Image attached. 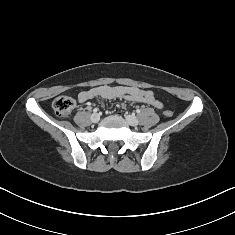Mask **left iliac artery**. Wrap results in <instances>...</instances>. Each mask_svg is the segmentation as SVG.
Returning a JSON list of instances; mask_svg holds the SVG:
<instances>
[{
  "mask_svg": "<svg viewBox=\"0 0 235 235\" xmlns=\"http://www.w3.org/2000/svg\"><path fill=\"white\" fill-rule=\"evenodd\" d=\"M136 112L139 114V113L141 112V110H140V109H137Z\"/></svg>",
  "mask_w": 235,
  "mask_h": 235,
  "instance_id": "obj_1",
  "label": "left iliac artery"
}]
</instances>
